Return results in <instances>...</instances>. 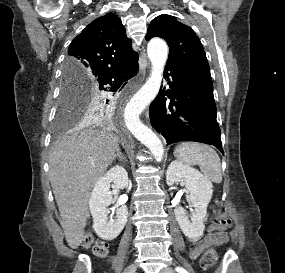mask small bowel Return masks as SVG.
<instances>
[{"label":"small bowel","mask_w":285,"mask_h":273,"mask_svg":"<svg viewBox=\"0 0 285 273\" xmlns=\"http://www.w3.org/2000/svg\"><path fill=\"white\" fill-rule=\"evenodd\" d=\"M215 229H216V225H214V224L211 225L210 232H209V235H208L207 239L202 244H200L199 246H197L193 250L192 255L194 257L198 256L202 252L203 248L207 244H211V243H213V244H222V243H225L228 240V238H227L225 233H221V234H218V235L215 234L214 233Z\"/></svg>","instance_id":"small-bowel-1"}]
</instances>
